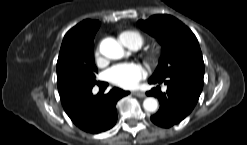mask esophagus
<instances>
[{"mask_svg":"<svg viewBox=\"0 0 247 145\" xmlns=\"http://www.w3.org/2000/svg\"><path fill=\"white\" fill-rule=\"evenodd\" d=\"M133 95L139 97V98H144L145 97V93L142 91H134Z\"/></svg>","mask_w":247,"mask_h":145,"instance_id":"1","label":"esophagus"}]
</instances>
